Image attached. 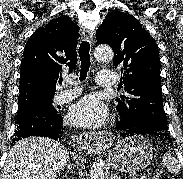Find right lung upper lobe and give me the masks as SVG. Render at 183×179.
Here are the masks:
<instances>
[{"label":"right lung upper lobe","mask_w":183,"mask_h":179,"mask_svg":"<svg viewBox=\"0 0 183 179\" xmlns=\"http://www.w3.org/2000/svg\"><path fill=\"white\" fill-rule=\"evenodd\" d=\"M78 32L79 26L67 16L35 31L22 56L19 97L54 94L61 72L76 68Z\"/></svg>","instance_id":"cb5924a9"}]
</instances>
